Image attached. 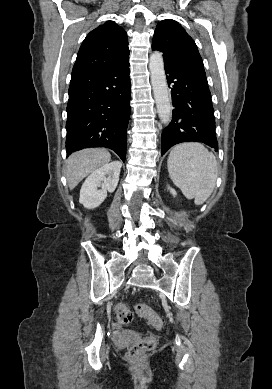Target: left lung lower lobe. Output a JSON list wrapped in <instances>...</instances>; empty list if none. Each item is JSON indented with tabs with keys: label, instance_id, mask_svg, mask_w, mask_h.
<instances>
[{
	"label": "left lung lower lobe",
	"instance_id": "1",
	"mask_svg": "<svg viewBox=\"0 0 272 389\" xmlns=\"http://www.w3.org/2000/svg\"><path fill=\"white\" fill-rule=\"evenodd\" d=\"M172 84L173 118L162 132V155L181 142H202L218 150L211 93L204 68L165 65Z\"/></svg>",
	"mask_w": 272,
	"mask_h": 389
}]
</instances>
